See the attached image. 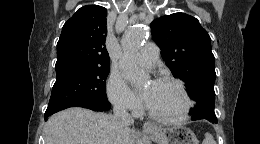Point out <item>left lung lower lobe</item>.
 <instances>
[{
	"label": "left lung lower lobe",
	"instance_id": "left-lung-lower-lobe-1",
	"mask_svg": "<svg viewBox=\"0 0 260 144\" xmlns=\"http://www.w3.org/2000/svg\"><path fill=\"white\" fill-rule=\"evenodd\" d=\"M203 119H206L212 123H217V118L216 117H210V118H203Z\"/></svg>",
	"mask_w": 260,
	"mask_h": 144
}]
</instances>
